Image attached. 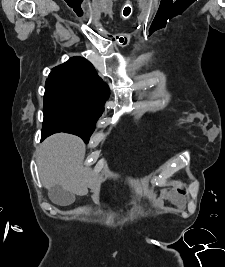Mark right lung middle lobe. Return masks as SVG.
I'll use <instances>...</instances> for the list:
<instances>
[{
	"label": "right lung middle lobe",
	"instance_id": "dd1d6c3e",
	"mask_svg": "<svg viewBox=\"0 0 225 267\" xmlns=\"http://www.w3.org/2000/svg\"><path fill=\"white\" fill-rule=\"evenodd\" d=\"M103 106L87 92L65 84H46L43 106V128L81 137L88 143Z\"/></svg>",
	"mask_w": 225,
	"mask_h": 267
}]
</instances>
